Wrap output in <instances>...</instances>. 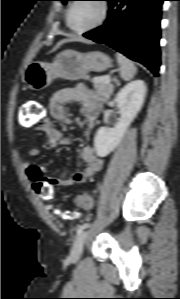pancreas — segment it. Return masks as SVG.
Returning a JSON list of instances; mask_svg holds the SVG:
<instances>
[{
  "instance_id": "cf45deb5",
  "label": "pancreas",
  "mask_w": 180,
  "mask_h": 299,
  "mask_svg": "<svg viewBox=\"0 0 180 299\" xmlns=\"http://www.w3.org/2000/svg\"><path fill=\"white\" fill-rule=\"evenodd\" d=\"M95 89L97 95L101 101H106L109 99L113 86L106 82V76L99 78L98 83L95 84Z\"/></svg>"
}]
</instances>
